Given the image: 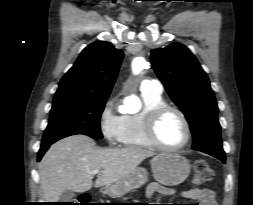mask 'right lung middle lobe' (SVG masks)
I'll use <instances>...</instances> for the list:
<instances>
[{
    "instance_id": "obj_1",
    "label": "right lung middle lobe",
    "mask_w": 253,
    "mask_h": 205,
    "mask_svg": "<svg viewBox=\"0 0 253 205\" xmlns=\"http://www.w3.org/2000/svg\"><path fill=\"white\" fill-rule=\"evenodd\" d=\"M106 100L107 98L54 101L41 145L51 144L75 134H84L94 139H101L99 122Z\"/></svg>"
}]
</instances>
